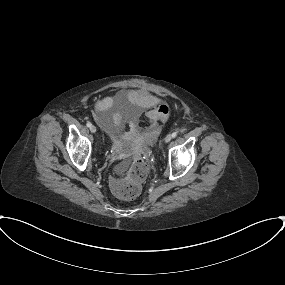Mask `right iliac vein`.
Instances as JSON below:
<instances>
[{
  "label": "right iliac vein",
  "instance_id": "obj_1",
  "mask_svg": "<svg viewBox=\"0 0 285 285\" xmlns=\"http://www.w3.org/2000/svg\"><path fill=\"white\" fill-rule=\"evenodd\" d=\"M90 131L92 132V133H95L96 132V127H95V125H91L90 126Z\"/></svg>",
  "mask_w": 285,
  "mask_h": 285
}]
</instances>
